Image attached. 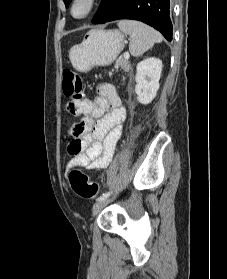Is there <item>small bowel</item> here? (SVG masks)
<instances>
[{
    "mask_svg": "<svg viewBox=\"0 0 227 279\" xmlns=\"http://www.w3.org/2000/svg\"><path fill=\"white\" fill-rule=\"evenodd\" d=\"M76 115H83L70 130L71 144L80 145L67 169L83 166L88 170L106 168L114 154L120 137L126 109L116 88L109 83L100 84L94 99L79 101Z\"/></svg>",
    "mask_w": 227,
    "mask_h": 279,
    "instance_id": "c3829d8e",
    "label": "small bowel"
}]
</instances>
